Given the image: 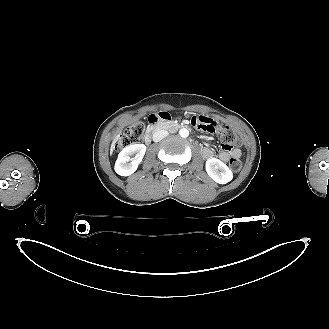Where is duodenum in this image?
I'll return each instance as SVG.
<instances>
[{"label":"duodenum","mask_w":329,"mask_h":329,"mask_svg":"<svg viewBox=\"0 0 329 329\" xmlns=\"http://www.w3.org/2000/svg\"><path fill=\"white\" fill-rule=\"evenodd\" d=\"M167 120H168L167 117L163 116L162 113L154 114L150 117V122L152 125H151V128L146 132V134L144 136V142L146 144L151 143L152 135L155 130L168 125ZM176 126L186 127L185 125H180V124H178Z\"/></svg>","instance_id":"obj_1"}]
</instances>
